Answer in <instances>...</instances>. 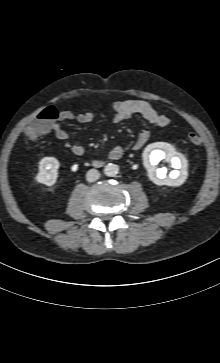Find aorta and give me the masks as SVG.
<instances>
[{
    "label": "aorta",
    "mask_w": 220,
    "mask_h": 363,
    "mask_svg": "<svg viewBox=\"0 0 220 363\" xmlns=\"http://www.w3.org/2000/svg\"><path fill=\"white\" fill-rule=\"evenodd\" d=\"M118 171H119L118 166L113 163H108L104 167V174L109 177H113V176L117 175Z\"/></svg>",
    "instance_id": "aorta-1"
}]
</instances>
